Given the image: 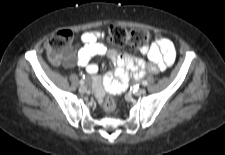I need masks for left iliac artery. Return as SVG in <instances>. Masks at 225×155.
<instances>
[{"mask_svg":"<svg viewBox=\"0 0 225 155\" xmlns=\"http://www.w3.org/2000/svg\"><path fill=\"white\" fill-rule=\"evenodd\" d=\"M148 82L146 80L142 81L143 86H147Z\"/></svg>","mask_w":225,"mask_h":155,"instance_id":"obj_1","label":"left iliac artery"}]
</instances>
